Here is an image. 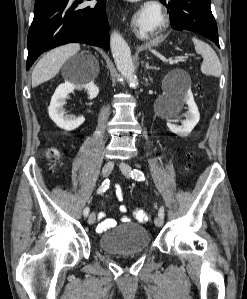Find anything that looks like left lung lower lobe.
Masks as SVG:
<instances>
[{
    "label": "left lung lower lobe",
    "mask_w": 247,
    "mask_h": 299,
    "mask_svg": "<svg viewBox=\"0 0 247 299\" xmlns=\"http://www.w3.org/2000/svg\"><path fill=\"white\" fill-rule=\"evenodd\" d=\"M160 2L168 9L173 29L199 33L220 47L210 0H160Z\"/></svg>",
    "instance_id": "1"
}]
</instances>
